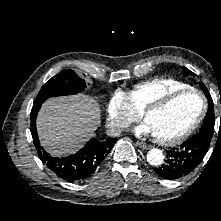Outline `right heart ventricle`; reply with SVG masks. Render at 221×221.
Listing matches in <instances>:
<instances>
[{
    "instance_id": "1",
    "label": "right heart ventricle",
    "mask_w": 221,
    "mask_h": 221,
    "mask_svg": "<svg viewBox=\"0 0 221 221\" xmlns=\"http://www.w3.org/2000/svg\"><path fill=\"white\" fill-rule=\"evenodd\" d=\"M190 87L188 84L169 77L155 78L134 85L125 95L132 109L140 113L145 107L163 95Z\"/></svg>"
}]
</instances>
